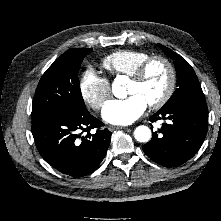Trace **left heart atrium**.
Wrapping results in <instances>:
<instances>
[{
  "mask_svg": "<svg viewBox=\"0 0 221 221\" xmlns=\"http://www.w3.org/2000/svg\"><path fill=\"white\" fill-rule=\"evenodd\" d=\"M147 103L138 94L125 99L109 100L103 107L102 117L111 124L128 125L137 120L146 110Z\"/></svg>",
  "mask_w": 221,
  "mask_h": 221,
  "instance_id": "obj_1",
  "label": "left heart atrium"
}]
</instances>
